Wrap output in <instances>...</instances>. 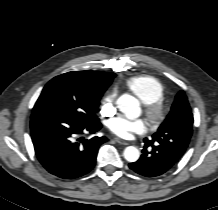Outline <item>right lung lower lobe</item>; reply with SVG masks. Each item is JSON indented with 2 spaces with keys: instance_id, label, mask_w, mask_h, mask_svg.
I'll use <instances>...</instances> for the list:
<instances>
[{
  "instance_id": "1",
  "label": "right lung lower lobe",
  "mask_w": 218,
  "mask_h": 210,
  "mask_svg": "<svg viewBox=\"0 0 218 210\" xmlns=\"http://www.w3.org/2000/svg\"><path fill=\"white\" fill-rule=\"evenodd\" d=\"M31 138L42 166L62 179H75L90 172L106 137L84 140L80 135L95 133L100 122H85L56 111L32 112Z\"/></svg>"
}]
</instances>
